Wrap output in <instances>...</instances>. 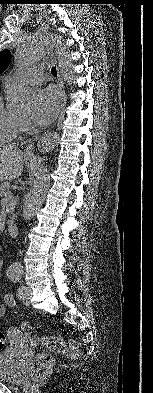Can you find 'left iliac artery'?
Segmentation results:
<instances>
[{"label": "left iliac artery", "mask_w": 153, "mask_h": 393, "mask_svg": "<svg viewBox=\"0 0 153 393\" xmlns=\"http://www.w3.org/2000/svg\"><path fill=\"white\" fill-rule=\"evenodd\" d=\"M7 276L11 279V281L13 282H20L21 280V275L20 274H16V273H7ZM24 289V286L19 287L18 289V295L21 296L22 295V291Z\"/></svg>", "instance_id": "1"}]
</instances>
